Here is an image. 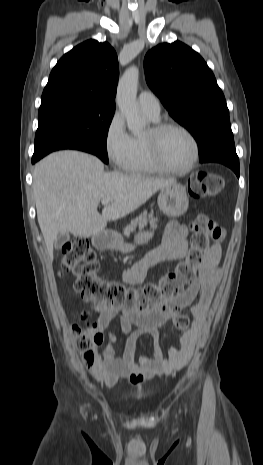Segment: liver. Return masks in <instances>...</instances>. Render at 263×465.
I'll return each instance as SVG.
<instances>
[{
    "label": "liver",
    "instance_id": "liver-1",
    "mask_svg": "<svg viewBox=\"0 0 263 465\" xmlns=\"http://www.w3.org/2000/svg\"><path fill=\"white\" fill-rule=\"evenodd\" d=\"M175 179L105 172L95 156L78 151L52 153L35 165L33 192L37 219L50 260L59 234L90 237L100 234L108 221L130 214ZM113 198L100 214L102 199Z\"/></svg>",
    "mask_w": 263,
    "mask_h": 465
}]
</instances>
